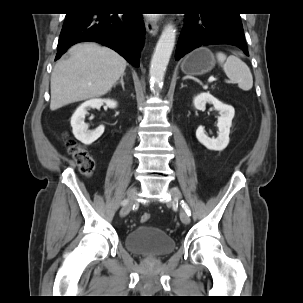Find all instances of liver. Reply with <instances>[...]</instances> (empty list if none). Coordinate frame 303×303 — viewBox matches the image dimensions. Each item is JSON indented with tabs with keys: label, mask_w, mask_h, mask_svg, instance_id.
<instances>
[{
	"label": "liver",
	"mask_w": 303,
	"mask_h": 303,
	"mask_svg": "<svg viewBox=\"0 0 303 303\" xmlns=\"http://www.w3.org/2000/svg\"><path fill=\"white\" fill-rule=\"evenodd\" d=\"M126 60L96 43L69 49V58L58 61L51 75L50 109L105 95L124 74Z\"/></svg>",
	"instance_id": "liver-1"
}]
</instances>
